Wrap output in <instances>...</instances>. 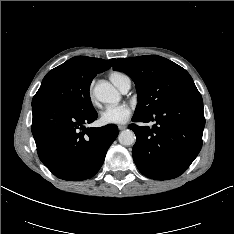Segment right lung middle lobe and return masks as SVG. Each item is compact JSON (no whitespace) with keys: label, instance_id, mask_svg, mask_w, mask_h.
<instances>
[{"label":"right lung middle lobe","instance_id":"obj_1","mask_svg":"<svg viewBox=\"0 0 234 234\" xmlns=\"http://www.w3.org/2000/svg\"><path fill=\"white\" fill-rule=\"evenodd\" d=\"M95 76L83 73L68 60L47 73L33 97L32 107L55 104L76 111H89L93 109L89 88Z\"/></svg>","mask_w":234,"mask_h":234}]
</instances>
